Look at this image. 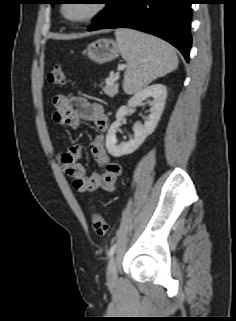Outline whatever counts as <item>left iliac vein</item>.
<instances>
[{
    "instance_id": "left-iliac-vein-1",
    "label": "left iliac vein",
    "mask_w": 236,
    "mask_h": 321,
    "mask_svg": "<svg viewBox=\"0 0 236 321\" xmlns=\"http://www.w3.org/2000/svg\"><path fill=\"white\" fill-rule=\"evenodd\" d=\"M107 281L109 284H115L117 281V266L116 260L112 257L107 267Z\"/></svg>"
}]
</instances>
